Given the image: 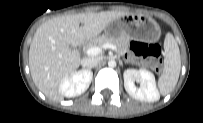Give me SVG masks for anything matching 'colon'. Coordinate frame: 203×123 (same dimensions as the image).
<instances>
[{
	"instance_id": "5ec220e1",
	"label": "colon",
	"mask_w": 203,
	"mask_h": 123,
	"mask_svg": "<svg viewBox=\"0 0 203 123\" xmlns=\"http://www.w3.org/2000/svg\"><path fill=\"white\" fill-rule=\"evenodd\" d=\"M149 54L152 56L154 70L156 72H160L162 64H161V60L159 58V54H160L159 49L152 48Z\"/></svg>"
}]
</instances>
